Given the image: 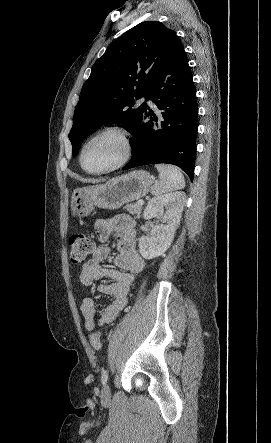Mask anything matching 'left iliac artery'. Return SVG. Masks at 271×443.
Masks as SVG:
<instances>
[{
  "instance_id": "left-iliac-artery-1",
  "label": "left iliac artery",
  "mask_w": 271,
  "mask_h": 443,
  "mask_svg": "<svg viewBox=\"0 0 271 443\" xmlns=\"http://www.w3.org/2000/svg\"><path fill=\"white\" fill-rule=\"evenodd\" d=\"M107 380H108V371H107V370H104V371L102 372V376H101L102 384L105 385L106 382H107Z\"/></svg>"
}]
</instances>
